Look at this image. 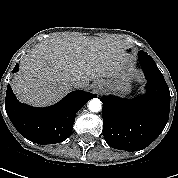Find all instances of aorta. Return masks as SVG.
<instances>
[{"label": "aorta", "mask_w": 178, "mask_h": 178, "mask_svg": "<svg viewBox=\"0 0 178 178\" xmlns=\"http://www.w3.org/2000/svg\"><path fill=\"white\" fill-rule=\"evenodd\" d=\"M88 108L91 112H99L102 108L101 101L99 99H92L88 104Z\"/></svg>", "instance_id": "1"}]
</instances>
